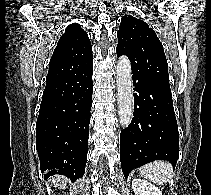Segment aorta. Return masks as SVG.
Wrapping results in <instances>:
<instances>
[{
	"label": "aorta",
	"instance_id": "obj_1",
	"mask_svg": "<svg viewBox=\"0 0 211 195\" xmlns=\"http://www.w3.org/2000/svg\"><path fill=\"white\" fill-rule=\"evenodd\" d=\"M117 102L120 124L129 126L133 117V90L130 60L121 56L116 66Z\"/></svg>",
	"mask_w": 211,
	"mask_h": 195
}]
</instances>
